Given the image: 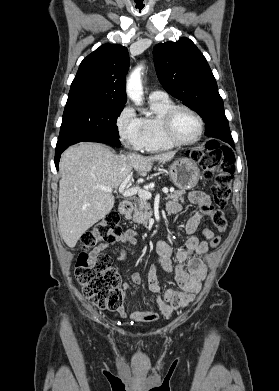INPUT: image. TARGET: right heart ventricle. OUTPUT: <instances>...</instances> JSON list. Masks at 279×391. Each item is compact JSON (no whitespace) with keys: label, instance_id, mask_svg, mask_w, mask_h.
Returning a JSON list of instances; mask_svg holds the SVG:
<instances>
[{"label":"right heart ventricle","instance_id":"right-heart-ventricle-1","mask_svg":"<svg viewBox=\"0 0 279 391\" xmlns=\"http://www.w3.org/2000/svg\"><path fill=\"white\" fill-rule=\"evenodd\" d=\"M151 113L140 119L141 138L140 148L147 152H161L173 149L175 145L170 143L164 134L162 117L174 104L169 97L150 99Z\"/></svg>","mask_w":279,"mask_h":391}]
</instances>
